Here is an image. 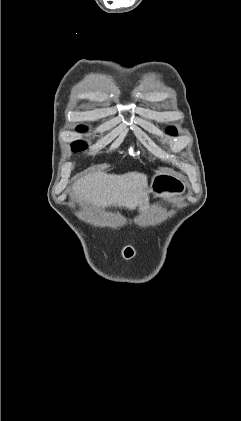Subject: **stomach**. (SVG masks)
<instances>
[{
    "label": "stomach",
    "mask_w": 241,
    "mask_h": 421,
    "mask_svg": "<svg viewBox=\"0 0 241 421\" xmlns=\"http://www.w3.org/2000/svg\"><path fill=\"white\" fill-rule=\"evenodd\" d=\"M186 190L184 181L167 172H157L152 179L150 189H147L138 203L139 210H146L149 206V194L159 198H171L182 195Z\"/></svg>",
    "instance_id": "1"
}]
</instances>
